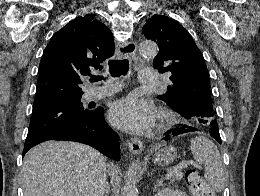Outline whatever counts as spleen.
Here are the masks:
<instances>
[{
  "instance_id": "1",
  "label": "spleen",
  "mask_w": 260,
  "mask_h": 196,
  "mask_svg": "<svg viewBox=\"0 0 260 196\" xmlns=\"http://www.w3.org/2000/svg\"><path fill=\"white\" fill-rule=\"evenodd\" d=\"M190 150L195 162L204 166V178L211 190L221 192L225 184V174L217 146L205 136H196L190 140Z\"/></svg>"
}]
</instances>
